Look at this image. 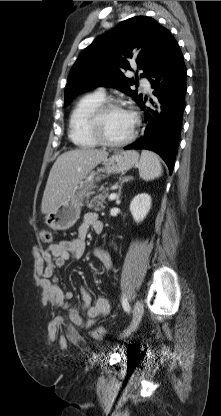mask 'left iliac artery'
<instances>
[{
	"label": "left iliac artery",
	"mask_w": 221,
	"mask_h": 416,
	"mask_svg": "<svg viewBox=\"0 0 221 416\" xmlns=\"http://www.w3.org/2000/svg\"><path fill=\"white\" fill-rule=\"evenodd\" d=\"M122 306H123V308L126 312L130 311V306H129V303L127 301V298H125V296L122 297Z\"/></svg>",
	"instance_id": "44dca946"
}]
</instances>
